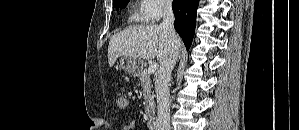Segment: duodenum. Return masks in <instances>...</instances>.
<instances>
[{
    "label": "duodenum",
    "instance_id": "obj_1",
    "mask_svg": "<svg viewBox=\"0 0 299 130\" xmlns=\"http://www.w3.org/2000/svg\"><path fill=\"white\" fill-rule=\"evenodd\" d=\"M159 122L157 117L148 118V127L150 130H158Z\"/></svg>",
    "mask_w": 299,
    "mask_h": 130
}]
</instances>
